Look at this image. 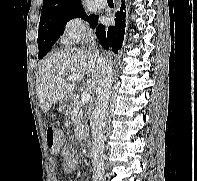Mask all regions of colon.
Listing matches in <instances>:
<instances>
[{"label": "colon", "mask_w": 197, "mask_h": 181, "mask_svg": "<svg viewBox=\"0 0 197 181\" xmlns=\"http://www.w3.org/2000/svg\"><path fill=\"white\" fill-rule=\"evenodd\" d=\"M46 142L51 151L56 152L59 150L63 139L55 127L49 126L46 129Z\"/></svg>", "instance_id": "colon-1"}]
</instances>
